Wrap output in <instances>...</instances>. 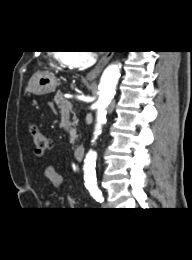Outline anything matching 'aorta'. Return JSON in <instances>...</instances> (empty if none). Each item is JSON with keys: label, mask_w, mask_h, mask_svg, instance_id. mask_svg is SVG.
Instances as JSON below:
<instances>
[{"label": "aorta", "mask_w": 192, "mask_h": 260, "mask_svg": "<svg viewBox=\"0 0 192 260\" xmlns=\"http://www.w3.org/2000/svg\"><path fill=\"white\" fill-rule=\"evenodd\" d=\"M120 69V64H111L104 70L101 76L98 87L99 98L96 102L97 123L95 125L94 140L102 132V125L106 121L107 108L115 95L116 85L120 78ZM96 159L97 153L90 150L86 155L84 164V180L87 185L96 183Z\"/></svg>", "instance_id": "aorta-1"}]
</instances>
